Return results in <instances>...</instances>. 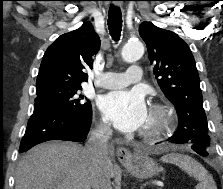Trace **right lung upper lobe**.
<instances>
[{"mask_svg": "<svg viewBox=\"0 0 223 189\" xmlns=\"http://www.w3.org/2000/svg\"><path fill=\"white\" fill-rule=\"evenodd\" d=\"M99 46V38L90 22L58 37L43 56L36 92L81 87L82 82L88 81L86 70L92 68V56Z\"/></svg>", "mask_w": 223, "mask_h": 189, "instance_id": "1", "label": "right lung upper lobe"}]
</instances>
